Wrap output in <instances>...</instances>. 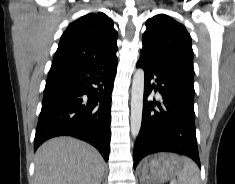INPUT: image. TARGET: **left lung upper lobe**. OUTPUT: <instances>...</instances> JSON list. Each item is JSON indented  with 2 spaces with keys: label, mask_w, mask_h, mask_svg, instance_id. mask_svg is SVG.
Instances as JSON below:
<instances>
[{
  "label": "left lung upper lobe",
  "mask_w": 235,
  "mask_h": 184,
  "mask_svg": "<svg viewBox=\"0 0 235 184\" xmlns=\"http://www.w3.org/2000/svg\"><path fill=\"white\" fill-rule=\"evenodd\" d=\"M143 53L155 64L171 71L194 93V53L186 28L165 14L146 21Z\"/></svg>",
  "instance_id": "left-lung-upper-lobe-1"
}]
</instances>
